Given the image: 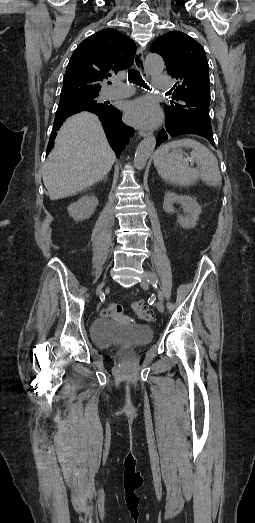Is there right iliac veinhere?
<instances>
[{
    "instance_id": "right-iliac-vein-1",
    "label": "right iliac vein",
    "mask_w": 255,
    "mask_h": 523,
    "mask_svg": "<svg viewBox=\"0 0 255 523\" xmlns=\"http://www.w3.org/2000/svg\"><path fill=\"white\" fill-rule=\"evenodd\" d=\"M103 285H104V283H102V284H100V285L98 286V288H97V292H100V291H101Z\"/></svg>"
}]
</instances>
